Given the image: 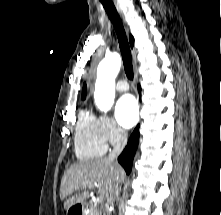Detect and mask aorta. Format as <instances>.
Returning a JSON list of instances; mask_svg holds the SVG:
<instances>
[{
    "mask_svg": "<svg viewBox=\"0 0 221 215\" xmlns=\"http://www.w3.org/2000/svg\"><path fill=\"white\" fill-rule=\"evenodd\" d=\"M121 67V57L118 53L106 54L97 68L94 99L97 107L107 112L114 103L115 78Z\"/></svg>",
    "mask_w": 221,
    "mask_h": 215,
    "instance_id": "1",
    "label": "aorta"
}]
</instances>
